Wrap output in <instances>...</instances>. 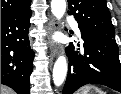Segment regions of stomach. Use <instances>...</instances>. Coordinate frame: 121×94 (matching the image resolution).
I'll list each match as a JSON object with an SVG mask.
<instances>
[{"label": "stomach", "instance_id": "1", "mask_svg": "<svg viewBox=\"0 0 121 94\" xmlns=\"http://www.w3.org/2000/svg\"><path fill=\"white\" fill-rule=\"evenodd\" d=\"M77 94H104V92L95 86H85Z\"/></svg>", "mask_w": 121, "mask_h": 94}]
</instances>
